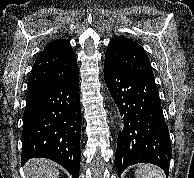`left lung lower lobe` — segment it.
<instances>
[{"instance_id": "1", "label": "left lung lower lobe", "mask_w": 194, "mask_h": 178, "mask_svg": "<svg viewBox=\"0 0 194 178\" xmlns=\"http://www.w3.org/2000/svg\"><path fill=\"white\" fill-rule=\"evenodd\" d=\"M104 77L125 125L115 155L118 175L136 163L156 164L168 175L171 144L155 81L109 61L104 63Z\"/></svg>"}]
</instances>
